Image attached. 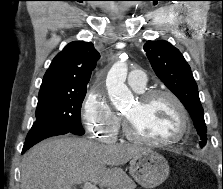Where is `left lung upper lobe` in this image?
<instances>
[{
    "label": "left lung upper lobe",
    "instance_id": "obj_1",
    "mask_svg": "<svg viewBox=\"0 0 223 189\" xmlns=\"http://www.w3.org/2000/svg\"><path fill=\"white\" fill-rule=\"evenodd\" d=\"M144 51L156 75L178 97L190 113L202 139L200 145L204 146L207 127L198 87L190 66L180 51L164 40L147 41L144 45Z\"/></svg>",
    "mask_w": 223,
    "mask_h": 189
}]
</instances>
